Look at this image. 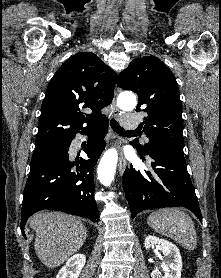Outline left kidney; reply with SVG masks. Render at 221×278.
<instances>
[{
  "label": "left kidney",
  "mask_w": 221,
  "mask_h": 278,
  "mask_svg": "<svg viewBox=\"0 0 221 278\" xmlns=\"http://www.w3.org/2000/svg\"><path fill=\"white\" fill-rule=\"evenodd\" d=\"M144 246L146 249L156 246L164 255L170 258V261L167 263L168 269L165 275L162 276L156 268L151 272V278H181L182 259L179 249L175 244L155 236H147Z\"/></svg>",
  "instance_id": "1"
}]
</instances>
